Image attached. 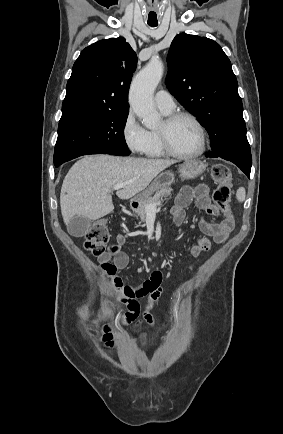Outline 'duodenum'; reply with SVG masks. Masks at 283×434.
<instances>
[{"label": "duodenum", "mask_w": 283, "mask_h": 434, "mask_svg": "<svg viewBox=\"0 0 283 434\" xmlns=\"http://www.w3.org/2000/svg\"><path fill=\"white\" fill-rule=\"evenodd\" d=\"M137 204H138V200L134 199V200H132V201L130 202V207H131V208H134V207L137 206Z\"/></svg>", "instance_id": "obj_1"}]
</instances>
